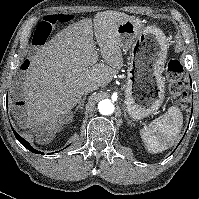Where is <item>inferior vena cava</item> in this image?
Returning a JSON list of instances; mask_svg holds the SVG:
<instances>
[{
    "label": "inferior vena cava",
    "instance_id": "602c4592",
    "mask_svg": "<svg viewBox=\"0 0 199 199\" xmlns=\"http://www.w3.org/2000/svg\"><path fill=\"white\" fill-rule=\"evenodd\" d=\"M98 87H99V86H98L97 83L92 82V83H90L89 85H87V86L85 87V93L94 91V90H96Z\"/></svg>",
    "mask_w": 199,
    "mask_h": 199
}]
</instances>
